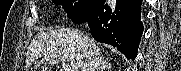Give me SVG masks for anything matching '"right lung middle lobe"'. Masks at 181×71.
Wrapping results in <instances>:
<instances>
[{
  "mask_svg": "<svg viewBox=\"0 0 181 71\" xmlns=\"http://www.w3.org/2000/svg\"><path fill=\"white\" fill-rule=\"evenodd\" d=\"M74 1L75 0H53L54 3L63 5V9L70 19L85 15L97 2V0H79V2L73 6L72 2Z\"/></svg>",
  "mask_w": 181,
  "mask_h": 71,
  "instance_id": "obj_1",
  "label": "right lung middle lobe"
}]
</instances>
